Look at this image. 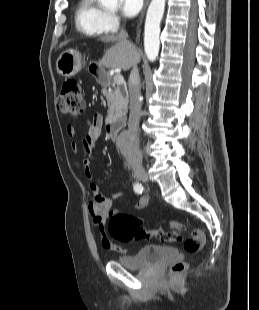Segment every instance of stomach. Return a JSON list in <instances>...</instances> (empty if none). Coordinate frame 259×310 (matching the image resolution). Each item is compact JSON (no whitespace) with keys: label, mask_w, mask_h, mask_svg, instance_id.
<instances>
[{"label":"stomach","mask_w":259,"mask_h":310,"mask_svg":"<svg viewBox=\"0 0 259 310\" xmlns=\"http://www.w3.org/2000/svg\"><path fill=\"white\" fill-rule=\"evenodd\" d=\"M83 63L84 60L79 51L68 49L60 54L56 68L60 75L71 77L81 70Z\"/></svg>","instance_id":"1"}]
</instances>
